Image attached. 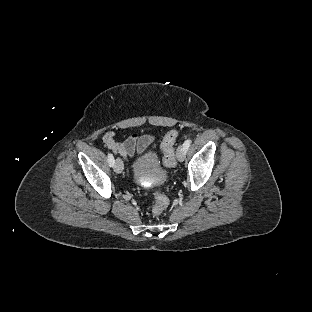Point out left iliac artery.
<instances>
[{
  "instance_id": "obj_1",
  "label": "left iliac artery",
  "mask_w": 312,
  "mask_h": 312,
  "mask_svg": "<svg viewBox=\"0 0 312 312\" xmlns=\"http://www.w3.org/2000/svg\"><path fill=\"white\" fill-rule=\"evenodd\" d=\"M190 144H191V140H190V139L186 140V141L183 143V148L185 149V151L188 150Z\"/></svg>"
}]
</instances>
